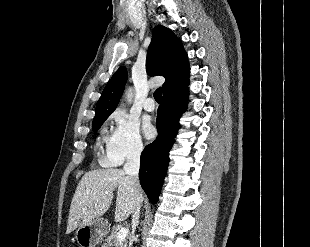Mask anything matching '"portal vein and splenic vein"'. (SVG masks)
Returning a JSON list of instances; mask_svg holds the SVG:
<instances>
[{
	"label": "portal vein and splenic vein",
	"instance_id": "18ae733b",
	"mask_svg": "<svg viewBox=\"0 0 310 247\" xmlns=\"http://www.w3.org/2000/svg\"><path fill=\"white\" fill-rule=\"evenodd\" d=\"M128 235V229L127 228H121L119 232L117 233V241L122 242L125 240V238Z\"/></svg>",
	"mask_w": 310,
	"mask_h": 247
}]
</instances>
